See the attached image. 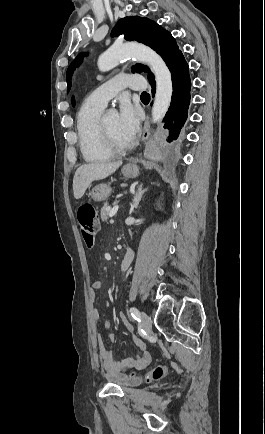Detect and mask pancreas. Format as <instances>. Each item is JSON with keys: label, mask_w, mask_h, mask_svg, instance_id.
I'll return each mask as SVG.
<instances>
[{"label": "pancreas", "mask_w": 265, "mask_h": 434, "mask_svg": "<svg viewBox=\"0 0 265 434\" xmlns=\"http://www.w3.org/2000/svg\"><path fill=\"white\" fill-rule=\"evenodd\" d=\"M110 214V208L108 206V202H105L103 208H101V220L102 222H107Z\"/></svg>", "instance_id": "pancreas-1"}]
</instances>
